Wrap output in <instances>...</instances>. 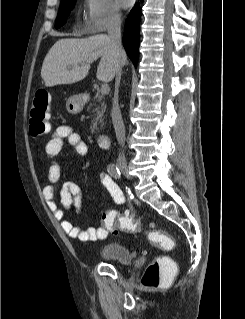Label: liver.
<instances>
[{
  "label": "liver",
  "mask_w": 245,
  "mask_h": 319,
  "mask_svg": "<svg viewBox=\"0 0 245 319\" xmlns=\"http://www.w3.org/2000/svg\"><path fill=\"white\" fill-rule=\"evenodd\" d=\"M99 58L97 79L109 82L116 75L119 65L109 36L100 34L85 39H60L47 53L42 64L41 77L47 87L73 84L84 79L91 64ZM125 62L124 54L120 62L121 68Z\"/></svg>",
  "instance_id": "1"
}]
</instances>
